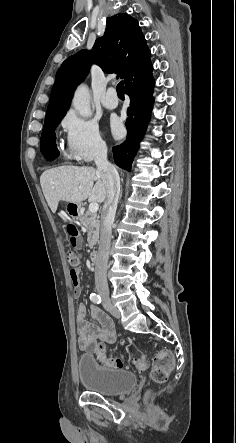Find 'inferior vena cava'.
<instances>
[{"mask_svg": "<svg viewBox=\"0 0 236 443\" xmlns=\"http://www.w3.org/2000/svg\"><path fill=\"white\" fill-rule=\"evenodd\" d=\"M97 171L106 184L107 196L102 210L100 241L95 267V285L103 303H109L107 283V264L111 242L112 224L114 222L119 194L120 178L116 168L107 160V147L104 144L95 155Z\"/></svg>", "mask_w": 236, "mask_h": 443, "instance_id": "inferior-vena-cava-1", "label": "inferior vena cava"}]
</instances>
